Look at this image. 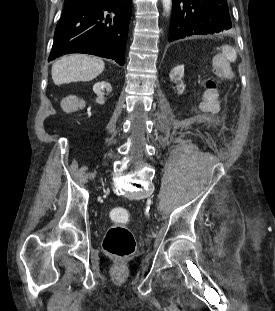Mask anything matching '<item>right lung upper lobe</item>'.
Masks as SVG:
<instances>
[{"label": "right lung upper lobe", "mask_w": 275, "mask_h": 311, "mask_svg": "<svg viewBox=\"0 0 275 311\" xmlns=\"http://www.w3.org/2000/svg\"><path fill=\"white\" fill-rule=\"evenodd\" d=\"M77 1H79V0H67V1H66V4L75 3V2H77Z\"/></svg>", "instance_id": "cb5924a9"}]
</instances>
